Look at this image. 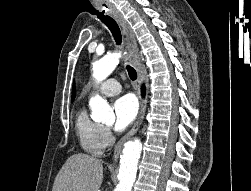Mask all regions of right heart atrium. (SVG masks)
Here are the masks:
<instances>
[{"label": "right heart atrium", "instance_id": "1", "mask_svg": "<svg viewBox=\"0 0 251 191\" xmlns=\"http://www.w3.org/2000/svg\"><path fill=\"white\" fill-rule=\"evenodd\" d=\"M102 141L105 147L111 146L114 142L112 132L107 126H102Z\"/></svg>", "mask_w": 251, "mask_h": 191}]
</instances>
